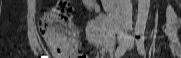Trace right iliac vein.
<instances>
[{
	"label": "right iliac vein",
	"mask_w": 181,
	"mask_h": 58,
	"mask_svg": "<svg viewBox=\"0 0 181 58\" xmlns=\"http://www.w3.org/2000/svg\"><path fill=\"white\" fill-rule=\"evenodd\" d=\"M118 42L119 45H123L126 42V38L124 36H119Z\"/></svg>",
	"instance_id": "1"
}]
</instances>
